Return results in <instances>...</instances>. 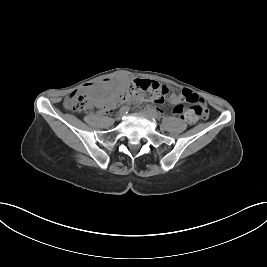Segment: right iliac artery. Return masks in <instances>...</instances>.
I'll list each match as a JSON object with an SVG mask.
<instances>
[{
    "mask_svg": "<svg viewBox=\"0 0 267 267\" xmlns=\"http://www.w3.org/2000/svg\"><path fill=\"white\" fill-rule=\"evenodd\" d=\"M129 107L128 106H123L121 109H120V113H122V114H127L128 113V111H129Z\"/></svg>",
    "mask_w": 267,
    "mask_h": 267,
    "instance_id": "1",
    "label": "right iliac artery"
}]
</instances>
